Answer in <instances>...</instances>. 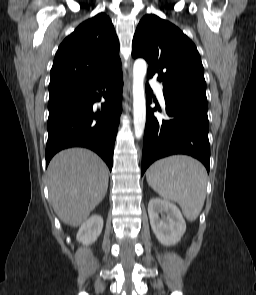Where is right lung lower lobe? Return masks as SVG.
<instances>
[{"instance_id":"right-lung-lower-lobe-1","label":"right lung lower lobe","mask_w":256,"mask_h":295,"mask_svg":"<svg viewBox=\"0 0 256 295\" xmlns=\"http://www.w3.org/2000/svg\"><path fill=\"white\" fill-rule=\"evenodd\" d=\"M122 87V71H118L91 83L50 93L46 166L58 151L79 146L95 151L112 169ZM101 96L105 103L96 111L93 104Z\"/></svg>"}]
</instances>
